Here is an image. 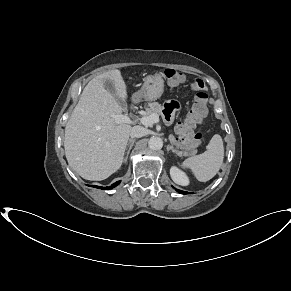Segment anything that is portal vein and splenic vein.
Returning a JSON list of instances; mask_svg holds the SVG:
<instances>
[{"label": "portal vein and splenic vein", "instance_id": "portal-vein-and-splenic-vein-1", "mask_svg": "<svg viewBox=\"0 0 291 291\" xmlns=\"http://www.w3.org/2000/svg\"><path fill=\"white\" fill-rule=\"evenodd\" d=\"M112 117L114 118L116 123H128L131 124L132 120L130 119L129 116L127 115H112ZM140 122L144 125V126H151L154 123H158L159 122V115L156 113H153L149 116H143L142 118H140Z\"/></svg>", "mask_w": 291, "mask_h": 291}]
</instances>
